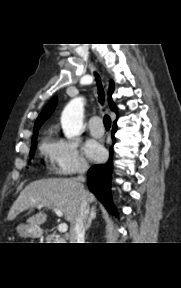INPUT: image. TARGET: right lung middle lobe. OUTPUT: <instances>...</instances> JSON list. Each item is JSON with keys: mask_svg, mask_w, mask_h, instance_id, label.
<instances>
[{"mask_svg": "<svg viewBox=\"0 0 181 288\" xmlns=\"http://www.w3.org/2000/svg\"><path fill=\"white\" fill-rule=\"evenodd\" d=\"M36 145H37L36 140H35V141H32V147H31V151H30L31 157L34 156V153H35V150H36Z\"/></svg>", "mask_w": 181, "mask_h": 288, "instance_id": "1", "label": "right lung middle lobe"}]
</instances>
